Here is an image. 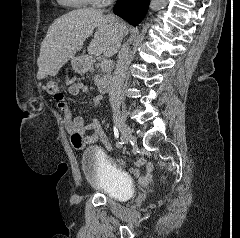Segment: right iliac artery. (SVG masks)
Masks as SVG:
<instances>
[{"label": "right iliac artery", "instance_id": "82829eb1", "mask_svg": "<svg viewBox=\"0 0 240 238\" xmlns=\"http://www.w3.org/2000/svg\"><path fill=\"white\" fill-rule=\"evenodd\" d=\"M122 144H123V142L120 140V141L118 142V144H117V147H121Z\"/></svg>", "mask_w": 240, "mask_h": 238}]
</instances>
